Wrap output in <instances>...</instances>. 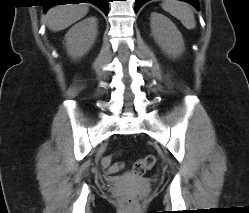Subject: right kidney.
I'll list each match as a JSON object with an SVG mask.
<instances>
[{
    "mask_svg": "<svg viewBox=\"0 0 249 213\" xmlns=\"http://www.w3.org/2000/svg\"><path fill=\"white\" fill-rule=\"evenodd\" d=\"M96 37V17H89L75 24L65 35L68 54L74 59L82 57L93 46Z\"/></svg>",
    "mask_w": 249,
    "mask_h": 213,
    "instance_id": "obj_1",
    "label": "right kidney"
}]
</instances>
